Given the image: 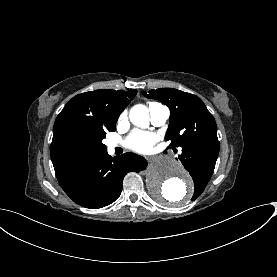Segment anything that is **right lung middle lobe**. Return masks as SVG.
I'll use <instances>...</instances> for the list:
<instances>
[{"label":"right lung middle lobe","mask_w":277,"mask_h":277,"mask_svg":"<svg viewBox=\"0 0 277 277\" xmlns=\"http://www.w3.org/2000/svg\"><path fill=\"white\" fill-rule=\"evenodd\" d=\"M104 138L105 136L97 139H91L89 137L78 139L55 158L53 166L55 168H61L107 150L106 146L102 143Z\"/></svg>","instance_id":"1"}]
</instances>
